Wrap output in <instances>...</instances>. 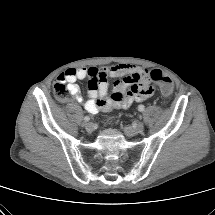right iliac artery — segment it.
Masks as SVG:
<instances>
[{
    "instance_id": "obj_1",
    "label": "right iliac artery",
    "mask_w": 215,
    "mask_h": 215,
    "mask_svg": "<svg viewBox=\"0 0 215 215\" xmlns=\"http://www.w3.org/2000/svg\"><path fill=\"white\" fill-rule=\"evenodd\" d=\"M84 120H85V121H89V120H90V117H89V116H85V117H84Z\"/></svg>"
}]
</instances>
